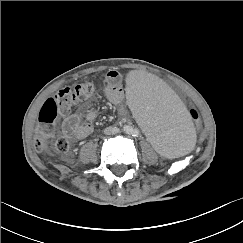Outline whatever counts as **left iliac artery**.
Masks as SVG:
<instances>
[{"label":"left iliac artery","mask_w":243,"mask_h":243,"mask_svg":"<svg viewBox=\"0 0 243 243\" xmlns=\"http://www.w3.org/2000/svg\"><path fill=\"white\" fill-rule=\"evenodd\" d=\"M132 134H133V136H137L139 134V132H138L137 129H133L132 130Z\"/></svg>","instance_id":"left-iliac-artery-1"}]
</instances>
